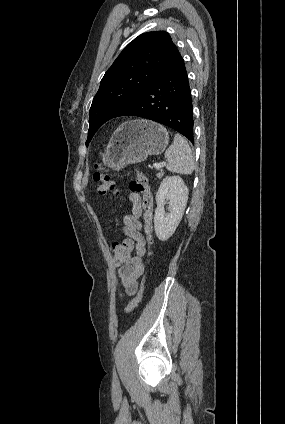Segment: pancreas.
Masks as SVG:
<instances>
[{
  "mask_svg": "<svg viewBox=\"0 0 285 424\" xmlns=\"http://www.w3.org/2000/svg\"><path fill=\"white\" fill-rule=\"evenodd\" d=\"M156 176H157V178H159V179H160V178H162V176H163V173H162V172H160V173H157V175H156Z\"/></svg>",
  "mask_w": 285,
  "mask_h": 424,
  "instance_id": "1",
  "label": "pancreas"
}]
</instances>
